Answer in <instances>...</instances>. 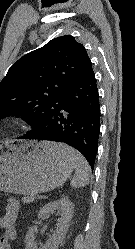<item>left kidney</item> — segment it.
Here are the masks:
<instances>
[{"label": "left kidney", "instance_id": "5707ae66", "mask_svg": "<svg viewBox=\"0 0 135 249\" xmlns=\"http://www.w3.org/2000/svg\"><path fill=\"white\" fill-rule=\"evenodd\" d=\"M55 211L61 214V218L52 236H50L45 244L38 246L35 241L34 232L29 230L26 234V249H58L60 242L65 237L69 228V223L73 215V203L67 197L50 202L40 209L38 219H44L47 215Z\"/></svg>", "mask_w": 135, "mask_h": 249}]
</instances>
